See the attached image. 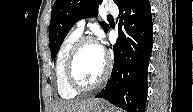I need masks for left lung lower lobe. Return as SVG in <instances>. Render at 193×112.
I'll return each mask as SVG.
<instances>
[{
	"label": "left lung lower lobe",
	"instance_id": "left-lung-lower-lobe-1",
	"mask_svg": "<svg viewBox=\"0 0 193 112\" xmlns=\"http://www.w3.org/2000/svg\"><path fill=\"white\" fill-rule=\"evenodd\" d=\"M119 17V37L113 46L111 77L96 97L104 98L128 112H144L153 46L149 0H129L119 9Z\"/></svg>",
	"mask_w": 193,
	"mask_h": 112
}]
</instances>
